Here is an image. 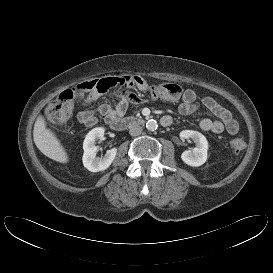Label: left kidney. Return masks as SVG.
Listing matches in <instances>:
<instances>
[{"mask_svg":"<svg viewBox=\"0 0 273 273\" xmlns=\"http://www.w3.org/2000/svg\"><path fill=\"white\" fill-rule=\"evenodd\" d=\"M181 139L191 138L196 147L190 151L186 150L181 154V159L187 165L197 167L204 164L207 160L208 142L206 137L198 131L183 130L180 133Z\"/></svg>","mask_w":273,"mask_h":273,"instance_id":"5707ae66","label":"left kidney"}]
</instances>
